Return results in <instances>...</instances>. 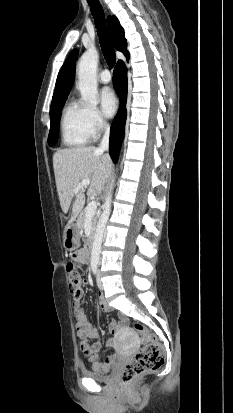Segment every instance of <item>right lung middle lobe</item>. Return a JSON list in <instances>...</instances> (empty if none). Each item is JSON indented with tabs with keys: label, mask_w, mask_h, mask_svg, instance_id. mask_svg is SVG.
<instances>
[{
	"label": "right lung middle lobe",
	"mask_w": 233,
	"mask_h": 413,
	"mask_svg": "<svg viewBox=\"0 0 233 413\" xmlns=\"http://www.w3.org/2000/svg\"><path fill=\"white\" fill-rule=\"evenodd\" d=\"M66 99L51 104L50 107V131L48 136V144L53 146L57 142L58 133H59V120H60V113L62 110L63 105L65 104Z\"/></svg>",
	"instance_id": "dd1d6c3e"
}]
</instances>
